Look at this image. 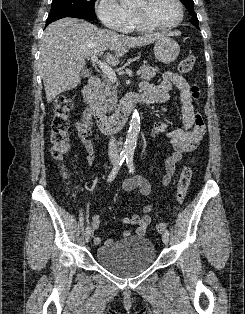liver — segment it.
I'll return each instance as SVG.
<instances>
[{
  "label": "liver",
  "mask_w": 245,
  "mask_h": 314,
  "mask_svg": "<svg viewBox=\"0 0 245 314\" xmlns=\"http://www.w3.org/2000/svg\"><path fill=\"white\" fill-rule=\"evenodd\" d=\"M180 32H160L130 37L75 18H64L51 23L40 41L39 68L46 99L50 103L59 94L75 88L81 81L86 57L108 53L110 65L119 63L130 48L146 46L160 38L177 36Z\"/></svg>",
  "instance_id": "6515ba94"
}]
</instances>
